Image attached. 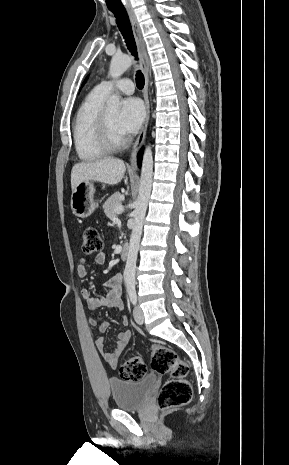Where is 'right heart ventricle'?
Wrapping results in <instances>:
<instances>
[{
	"label": "right heart ventricle",
	"mask_w": 289,
	"mask_h": 465,
	"mask_svg": "<svg viewBox=\"0 0 289 465\" xmlns=\"http://www.w3.org/2000/svg\"><path fill=\"white\" fill-rule=\"evenodd\" d=\"M106 95L97 88L93 89L80 105L73 126L74 146L78 158L91 162L108 154L100 144L97 135V124L103 110Z\"/></svg>",
	"instance_id": "1"
}]
</instances>
